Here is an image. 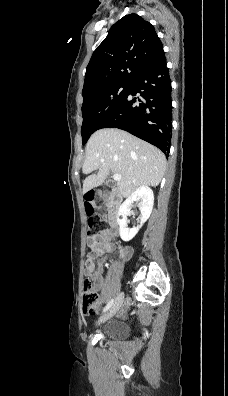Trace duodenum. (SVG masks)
Returning <instances> with one entry per match:
<instances>
[{"label":"duodenum","mask_w":228,"mask_h":396,"mask_svg":"<svg viewBox=\"0 0 228 396\" xmlns=\"http://www.w3.org/2000/svg\"><path fill=\"white\" fill-rule=\"evenodd\" d=\"M122 203V196L117 192L114 191L111 194V204L109 207V223L110 226L115 229L119 225V215H120V207Z\"/></svg>","instance_id":"obj_1"}]
</instances>
